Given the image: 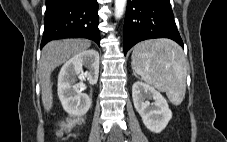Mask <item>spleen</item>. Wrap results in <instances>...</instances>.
Returning <instances> with one entry per match:
<instances>
[{"mask_svg": "<svg viewBox=\"0 0 227 142\" xmlns=\"http://www.w3.org/2000/svg\"><path fill=\"white\" fill-rule=\"evenodd\" d=\"M132 68L146 83L166 92L172 104H181L186 92L187 65L178 44L168 39L140 42L132 52Z\"/></svg>", "mask_w": 227, "mask_h": 142, "instance_id": "3e777b00", "label": "spleen"}]
</instances>
